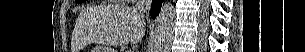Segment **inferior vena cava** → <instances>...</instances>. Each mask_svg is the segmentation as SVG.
<instances>
[{
    "mask_svg": "<svg viewBox=\"0 0 305 52\" xmlns=\"http://www.w3.org/2000/svg\"><path fill=\"white\" fill-rule=\"evenodd\" d=\"M152 0H138L136 9L144 16L148 14L151 9Z\"/></svg>",
    "mask_w": 305,
    "mask_h": 52,
    "instance_id": "obj_1",
    "label": "inferior vena cava"
}]
</instances>
